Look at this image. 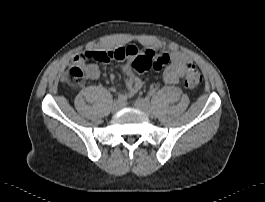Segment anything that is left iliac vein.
Wrapping results in <instances>:
<instances>
[{"label":"left iliac vein","mask_w":265,"mask_h":202,"mask_svg":"<svg viewBox=\"0 0 265 202\" xmlns=\"http://www.w3.org/2000/svg\"><path fill=\"white\" fill-rule=\"evenodd\" d=\"M134 104L137 109L144 112L147 116L152 115V107H151L149 100L144 99V98H138L135 100Z\"/></svg>","instance_id":"left-iliac-vein-1"}]
</instances>
